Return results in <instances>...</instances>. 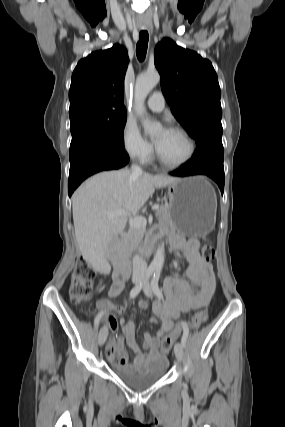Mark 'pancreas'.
<instances>
[{"label": "pancreas", "mask_w": 285, "mask_h": 427, "mask_svg": "<svg viewBox=\"0 0 285 427\" xmlns=\"http://www.w3.org/2000/svg\"><path fill=\"white\" fill-rule=\"evenodd\" d=\"M156 217L160 222H168L169 220V206L167 204L159 205V209L156 210ZM146 234L145 227H130L126 234L124 244L131 250L138 248L142 242L144 235Z\"/></svg>", "instance_id": "cf45deb5"}]
</instances>
